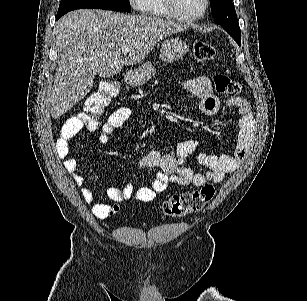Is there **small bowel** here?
Returning <instances> with one entry per match:
<instances>
[{"mask_svg": "<svg viewBox=\"0 0 307 301\" xmlns=\"http://www.w3.org/2000/svg\"><path fill=\"white\" fill-rule=\"evenodd\" d=\"M184 88L199 99V110L205 115H214L218 112L221 100L212 92L211 83L206 77H197L184 83ZM226 105L236 107L240 117L239 131L236 144L231 154L213 155L206 152L200 142L189 139L180 142L174 156L162 154L158 151L147 153L140 161L145 168H157L158 172L152 185L137 191L131 184L123 187H109L106 191L111 200L108 203L95 202L92 189L84 185V178L77 173V161L70 157V140L82 128L79 116L69 118L62 126L56 142V154L64 159V168L80 187L82 198L91 204V212L97 219H106L119 210L120 203L136 198L142 202H149L163 192L169 184L183 186H202L207 181L220 182L226 174L238 169L245 160L253 141L255 123L251 105L241 97L232 96L226 100ZM128 107H119L114 110L100 127L99 140L106 144L111 134L121 128L130 117ZM190 154H196L199 163L206 168L205 173L195 172L185 165V159Z\"/></svg>", "mask_w": 307, "mask_h": 301, "instance_id": "obj_1", "label": "small bowel"}]
</instances>
